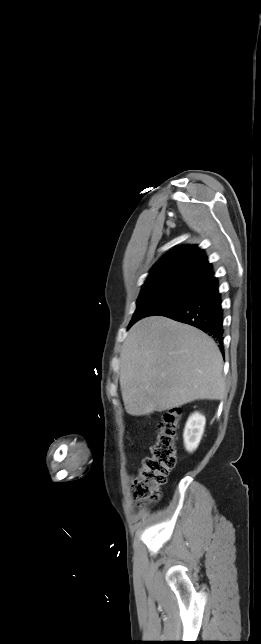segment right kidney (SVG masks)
Returning a JSON list of instances; mask_svg holds the SVG:
<instances>
[{"label":"right kidney","instance_id":"ca27d5eb","mask_svg":"<svg viewBox=\"0 0 261 644\" xmlns=\"http://www.w3.org/2000/svg\"><path fill=\"white\" fill-rule=\"evenodd\" d=\"M205 423V417L198 412L193 413L189 417L183 434L187 451L193 452L198 447L204 432Z\"/></svg>","mask_w":261,"mask_h":644}]
</instances>
